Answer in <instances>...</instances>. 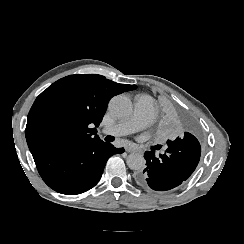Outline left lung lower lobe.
Here are the masks:
<instances>
[{
	"label": "left lung lower lobe",
	"instance_id": "0a47b994",
	"mask_svg": "<svg viewBox=\"0 0 244 244\" xmlns=\"http://www.w3.org/2000/svg\"><path fill=\"white\" fill-rule=\"evenodd\" d=\"M187 131L174 141H167L164 154L157 157L154 150L145 152L147 167L136 174V181L143 187L166 191L179 186L187 180L197 167L201 146L191 124Z\"/></svg>",
	"mask_w": 244,
	"mask_h": 244
}]
</instances>
